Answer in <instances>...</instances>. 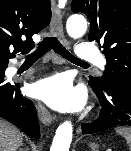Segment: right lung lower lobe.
Returning a JSON list of instances; mask_svg holds the SVG:
<instances>
[{
    "instance_id": "98d812e1",
    "label": "right lung lower lobe",
    "mask_w": 131,
    "mask_h": 151,
    "mask_svg": "<svg viewBox=\"0 0 131 151\" xmlns=\"http://www.w3.org/2000/svg\"><path fill=\"white\" fill-rule=\"evenodd\" d=\"M4 71L0 75V117L8 120L28 136L40 137L39 123L33 102L24 97L19 90V83H9L4 79L8 60L0 62Z\"/></svg>"
}]
</instances>
